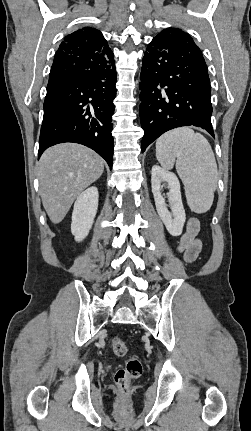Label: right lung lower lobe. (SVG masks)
Returning a JSON list of instances; mask_svg holds the SVG:
<instances>
[{"instance_id": "98d812e1", "label": "right lung lower lobe", "mask_w": 251, "mask_h": 431, "mask_svg": "<svg viewBox=\"0 0 251 431\" xmlns=\"http://www.w3.org/2000/svg\"><path fill=\"white\" fill-rule=\"evenodd\" d=\"M113 55L87 48L56 52L44 101L38 158L50 146L75 142L113 163L112 115L116 96Z\"/></svg>"}]
</instances>
